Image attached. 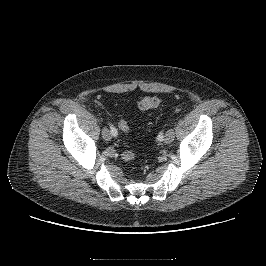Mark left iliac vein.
<instances>
[{
  "instance_id": "left-iliac-vein-1",
  "label": "left iliac vein",
  "mask_w": 266,
  "mask_h": 266,
  "mask_svg": "<svg viewBox=\"0 0 266 266\" xmlns=\"http://www.w3.org/2000/svg\"><path fill=\"white\" fill-rule=\"evenodd\" d=\"M174 140V131L172 129H169L164 137V141L166 143H171Z\"/></svg>"
}]
</instances>
